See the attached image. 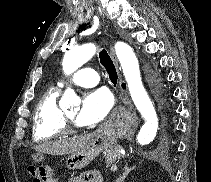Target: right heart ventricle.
Listing matches in <instances>:
<instances>
[{"instance_id": "obj_1", "label": "right heart ventricle", "mask_w": 211, "mask_h": 182, "mask_svg": "<svg viewBox=\"0 0 211 182\" xmlns=\"http://www.w3.org/2000/svg\"><path fill=\"white\" fill-rule=\"evenodd\" d=\"M59 89L47 90L38 101L34 116L32 137L36 142L50 141L62 136L63 111L58 105Z\"/></svg>"}]
</instances>
